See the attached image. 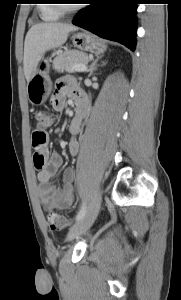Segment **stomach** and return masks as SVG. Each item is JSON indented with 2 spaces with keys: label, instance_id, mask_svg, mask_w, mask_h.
Segmentation results:
<instances>
[{
  "label": "stomach",
  "instance_id": "obj_1",
  "mask_svg": "<svg viewBox=\"0 0 181 300\" xmlns=\"http://www.w3.org/2000/svg\"><path fill=\"white\" fill-rule=\"evenodd\" d=\"M72 43L81 52L89 51L97 55L104 53L107 49L104 42L87 32L74 33ZM49 67L48 60L41 57L28 83L27 94L33 105L44 103L50 95L52 83L49 77Z\"/></svg>",
  "mask_w": 181,
  "mask_h": 300
}]
</instances>
